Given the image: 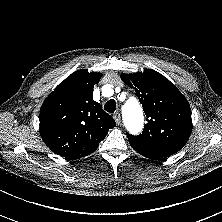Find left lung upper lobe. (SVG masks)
Listing matches in <instances>:
<instances>
[{
	"instance_id": "1",
	"label": "left lung upper lobe",
	"mask_w": 222,
	"mask_h": 222,
	"mask_svg": "<svg viewBox=\"0 0 222 222\" xmlns=\"http://www.w3.org/2000/svg\"><path fill=\"white\" fill-rule=\"evenodd\" d=\"M121 79L134 88L147 117L142 134L131 141L147 145L183 147L192 131L191 109L185 96L167 78L154 70L122 74Z\"/></svg>"
}]
</instances>
